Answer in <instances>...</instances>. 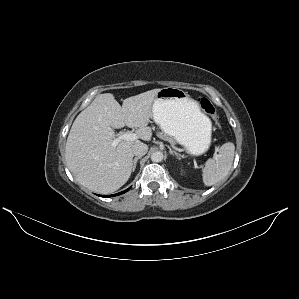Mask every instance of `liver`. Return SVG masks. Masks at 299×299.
<instances>
[{"label":"liver","mask_w":299,"mask_h":299,"mask_svg":"<svg viewBox=\"0 0 299 299\" xmlns=\"http://www.w3.org/2000/svg\"><path fill=\"white\" fill-rule=\"evenodd\" d=\"M160 89L131 96L122 106L111 93L100 94L75 119L65 146L67 166L82 186L101 194L122 187L130 178L133 148L140 140H123L116 147L113 128H136L138 138L149 141L152 106Z\"/></svg>","instance_id":"6515ba94"}]
</instances>
